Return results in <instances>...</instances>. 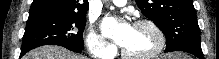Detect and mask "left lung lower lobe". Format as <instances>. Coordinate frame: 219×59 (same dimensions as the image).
I'll return each mask as SVG.
<instances>
[{
    "label": "left lung lower lobe",
    "mask_w": 219,
    "mask_h": 59,
    "mask_svg": "<svg viewBox=\"0 0 219 59\" xmlns=\"http://www.w3.org/2000/svg\"><path fill=\"white\" fill-rule=\"evenodd\" d=\"M184 51L195 55L199 59H204L201 49L200 41H183L169 49H165V52Z\"/></svg>",
    "instance_id": "1"
}]
</instances>
